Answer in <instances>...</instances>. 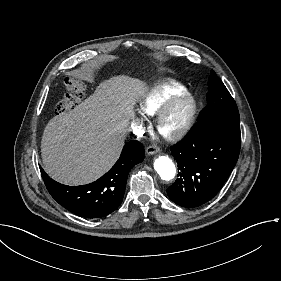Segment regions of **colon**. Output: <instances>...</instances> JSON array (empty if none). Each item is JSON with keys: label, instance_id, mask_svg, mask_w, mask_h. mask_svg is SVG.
<instances>
[{"label": "colon", "instance_id": "obj_1", "mask_svg": "<svg viewBox=\"0 0 281 281\" xmlns=\"http://www.w3.org/2000/svg\"><path fill=\"white\" fill-rule=\"evenodd\" d=\"M64 86L66 93L57 104V110L60 114L73 111L84 98V85L80 79L73 76H66Z\"/></svg>", "mask_w": 281, "mask_h": 281}]
</instances>
